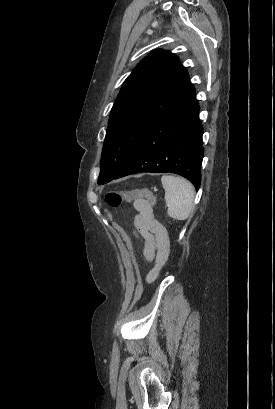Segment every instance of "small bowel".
Here are the masks:
<instances>
[{"mask_svg": "<svg viewBox=\"0 0 275 409\" xmlns=\"http://www.w3.org/2000/svg\"><path fill=\"white\" fill-rule=\"evenodd\" d=\"M134 206L137 211L134 226L144 239V256L147 260H154V269L160 270L169 257L168 235L164 227L154 218L152 209L146 202L136 201ZM152 271L147 277L148 282H152L157 277H151Z\"/></svg>", "mask_w": 275, "mask_h": 409, "instance_id": "small-bowel-1", "label": "small bowel"}]
</instances>
